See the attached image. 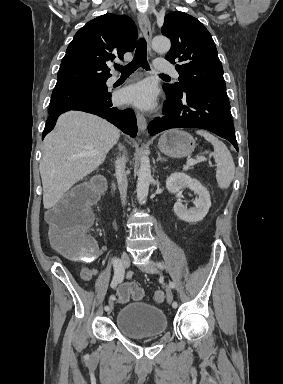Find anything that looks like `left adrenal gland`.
Here are the masks:
<instances>
[{
    "instance_id": "obj_1",
    "label": "left adrenal gland",
    "mask_w": 283,
    "mask_h": 384,
    "mask_svg": "<svg viewBox=\"0 0 283 384\" xmlns=\"http://www.w3.org/2000/svg\"><path fill=\"white\" fill-rule=\"evenodd\" d=\"M157 154H158L157 162H159V160H163V162H167V160H165V158H161L160 152H157Z\"/></svg>"
}]
</instances>
